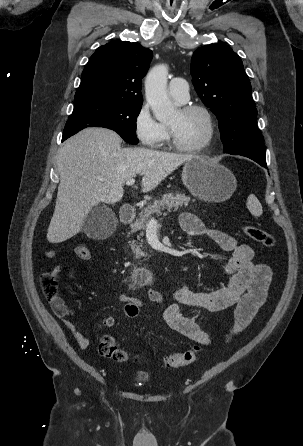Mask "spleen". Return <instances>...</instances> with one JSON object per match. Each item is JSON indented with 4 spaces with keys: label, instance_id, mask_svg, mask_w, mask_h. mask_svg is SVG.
<instances>
[{
    "label": "spleen",
    "instance_id": "1",
    "mask_svg": "<svg viewBox=\"0 0 303 446\" xmlns=\"http://www.w3.org/2000/svg\"><path fill=\"white\" fill-rule=\"evenodd\" d=\"M247 208L250 211V213L255 216L259 217L262 215L263 210L261 203L257 199V197L254 194H250L247 198Z\"/></svg>",
    "mask_w": 303,
    "mask_h": 446
}]
</instances>
